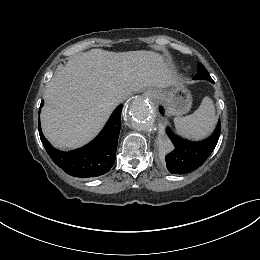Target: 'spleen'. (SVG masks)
I'll return each instance as SVG.
<instances>
[{
    "label": "spleen",
    "mask_w": 260,
    "mask_h": 260,
    "mask_svg": "<svg viewBox=\"0 0 260 260\" xmlns=\"http://www.w3.org/2000/svg\"><path fill=\"white\" fill-rule=\"evenodd\" d=\"M217 122L213 100L206 96L199 108L191 115L175 117L176 131L189 139L199 140L207 137L214 130Z\"/></svg>",
    "instance_id": "3e777b00"
}]
</instances>
